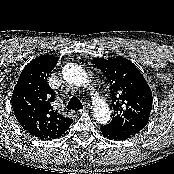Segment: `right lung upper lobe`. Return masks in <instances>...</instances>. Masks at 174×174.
<instances>
[{
  "label": "right lung upper lobe",
  "mask_w": 174,
  "mask_h": 174,
  "mask_svg": "<svg viewBox=\"0 0 174 174\" xmlns=\"http://www.w3.org/2000/svg\"><path fill=\"white\" fill-rule=\"evenodd\" d=\"M58 58L41 55L20 74L11 97L14 114L24 130L41 140L61 137L73 120L54 109L55 93L48 77Z\"/></svg>",
  "instance_id": "cb5924a9"
}]
</instances>
